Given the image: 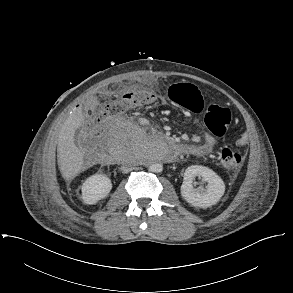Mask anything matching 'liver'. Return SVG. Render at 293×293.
<instances>
[{
    "label": "liver",
    "mask_w": 293,
    "mask_h": 293,
    "mask_svg": "<svg viewBox=\"0 0 293 293\" xmlns=\"http://www.w3.org/2000/svg\"><path fill=\"white\" fill-rule=\"evenodd\" d=\"M82 110L76 109L63 123L58 135V166L66 180L75 178L84 170L83 152L75 145V131L82 126Z\"/></svg>",
    "instance_id": "obj_1"
}]
</instances>
